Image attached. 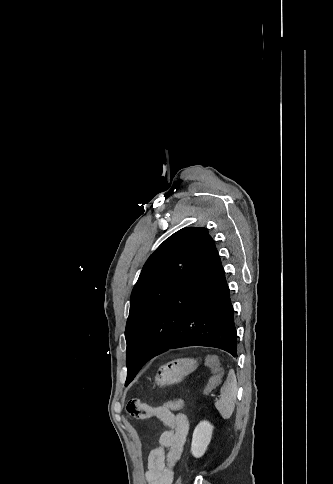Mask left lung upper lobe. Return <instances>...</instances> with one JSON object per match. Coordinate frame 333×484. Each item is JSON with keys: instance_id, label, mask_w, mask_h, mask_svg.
<instances>
[{"instance_id": "1", "label": "left lung upper lobe", "mask_w": 333, "mask_h": 484, "mask_svg": "<svg viewBox=\"0 0 333 484\" xmlns=\"http://www.w3.org/2000/svg\"><path fill=\"white\" fill-rule=\"evenodd\" d=\"M205 228H183L166 239L146 261L130 300V312L125 329L127 342V379L129 384L143 365L134 362L139 344L159 305L169 296V290L203 239ZM179 302H175V306Z\"/></svg>"}]
</instances>
